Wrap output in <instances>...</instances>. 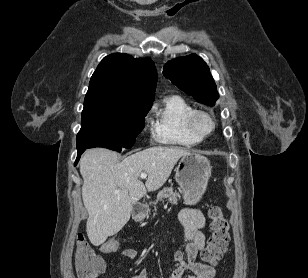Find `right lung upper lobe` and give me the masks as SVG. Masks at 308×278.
I'll use <instances>...</instances> for the list:
<instances>
[{
	"label": "right lung upper lobe",
	"mask_w": 308,
	"mask_h": 278,
	"mask_svg": "<svg viewBox=\"0 0 308 278\" xmlns=\"http://www.w3.org/2000/svg\"><path fill=\"white\" fill-rule=\"evenodd\" d=\"M156 81V69L150 59L110 54L91 77L82 117L132 112L152 104Z\"/></svg>",
	"instance_id": "1"
}]
</instances>
